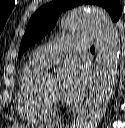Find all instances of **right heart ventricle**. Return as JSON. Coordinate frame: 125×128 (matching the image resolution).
Here are the masks:
<instances>
[{"label":"right heart ventricle","mask_w":125,"mask_h":128,"mask_svg":"<svg viewBox=\"0 0 125 128\" xmlns=\"http://www.w3.org/2000/svg\"><path fill=\"white\" fill-rule=\"evenodd\" d=\"M44 68L31 60L24 66L18 86L19 115L30 122L45 123L53 118V111L42 100L38 79Z\"/></svg>","instance_id":"1"}]
</instances>
